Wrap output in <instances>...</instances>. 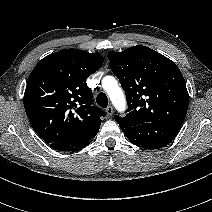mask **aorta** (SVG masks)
<instances>
[{
    "instance_id": "aorta-1",
    "label": "aorta",
    "mask_w": 212,
    "mask_h": 212,
    "mask_svg": "<svg viewBox=\"0 0 212 212\" xmlns=\"http://www.w3.org/2000/svg\"><path fill=\"white\" fill-rule=\"evenodd\" d=\"M107 92L112 104L119 111H123L126 107V99L122 89L118 86L117 81L112 76H107L103 79L102 84Z\"/></svg>"
}]
</instances>
